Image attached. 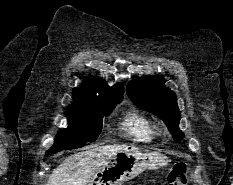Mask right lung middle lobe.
I'll return each mask as SVG.
<instances>
[{"label":"right lung middle lobe","instance_id":"right-lung-middle-lobe-1","mask_svg":"<svg viewBox=\"0 0 233 185\" xmlns=\"http://www.w3.org/2000/svg\"><path fill=\"white\" fill-rule=\"evenodd\" d=\"M120 101L103 102L93 106L68 107L69 127L58 132L47 155L61 150L76 149L95 141L102 129L103 116H108Z\"/></svg>","mask_w":233,"mask_h":185}]
</instances>
